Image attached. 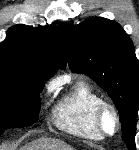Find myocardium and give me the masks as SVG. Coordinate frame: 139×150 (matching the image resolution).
Segmentation results:
<instances>
[{"label":"myocardium","instance_id":"f54148a6","mask_svg":"<svg viewBox=\"0 0 139 150\" xmlns=\"http://www.w3.org/2000/svg\"><path fill=\"white\" fill-rule=\"evenodd\" d=\"M106 111L112 112L115 122H116V128L115 131L112 134H109L105 131L103 127V116ZM94 124L97 129V131L103 136V137H113L116 136L121 128V119L119 112L116 108V106L108 101L102 100L95 108L94 111Z\"/></svg>","mask_w":139,"mask_h":150}]
</instances>
